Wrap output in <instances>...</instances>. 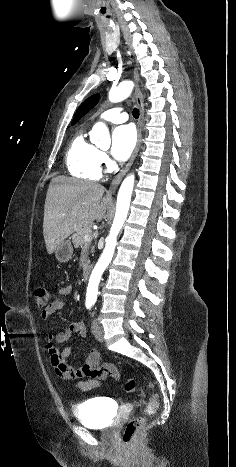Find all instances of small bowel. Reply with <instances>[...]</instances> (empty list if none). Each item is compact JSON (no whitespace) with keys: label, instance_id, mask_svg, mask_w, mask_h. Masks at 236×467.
<instances>
[{"label":"small bowel","instance_id":"1","mask_svg":"<svg viewBox=\"0 0 236 467\" xmlns=\"http://www.w3.org/2000/svg\"><path fill=\"white\" fill-rule=\"evenodd\" d=\"M71 284L60 286L54 295L53 300L44 307L40 316L43 320H47L56 311L62 309L65 304V297L72 292ZM73 333H77L79 337H86V328L82 322H73L66 328L56 334H49L46 347L50 354L51 364L55 373L64 380L82 379L89 377L87 381H79L77 387L81 391H91L101 387L102 380L111 377L115 381L120 379V373L117 367L112 363L99 364V353L95 349H90L79 367H71L65 363V358L71 353L69 346L63 347L61 350L56 345L67 343Z\"/></svg>","mask_w":236,"mask_h":467}]
</instances>
